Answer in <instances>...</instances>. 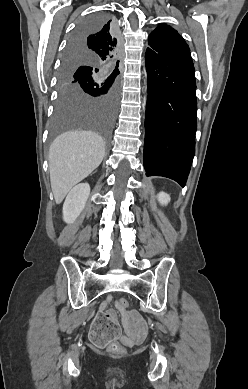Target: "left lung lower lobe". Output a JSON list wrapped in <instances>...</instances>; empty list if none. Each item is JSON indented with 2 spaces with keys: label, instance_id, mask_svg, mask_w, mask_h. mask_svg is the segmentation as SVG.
I'll list each match as a JSON object with an SVG mask.
<instances>
[{
  "label": "left lung lower lobe",
  "instance_id": "1",
  "mask_svg": "<svg viewBox=\"0 0 248 389\" xmlns=\"http://www.w3.org/2000/svg\"><path fill=\"white\" fill-rule=\"evenodd\" d=\"M148 99L143 162L147 176L185 186L195 153L196 81L190 51L147 48Z\"/></svg>",
  "mask_w": 248,
  "mask_h": 389
}]
</instances>
